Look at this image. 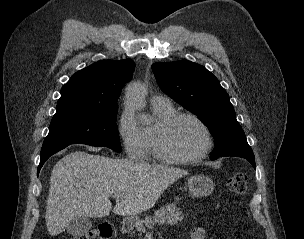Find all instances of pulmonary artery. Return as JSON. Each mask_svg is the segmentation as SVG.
<instances>
[{
  "label": "pulmonary artery",
  "instance_id": "pulmonary-artery-1",
  "mask_svg": "<svg viewBox=\"0 0 304 239\" xmlns=\"http://www.w3.org/2000/svg\"><path fill=\"white\" fill-rule=\"evenodd\" d=\"M160 101H169V99L161 95H154L151 97V102H160Z\"/></svg>",
  "mask_w": 304,
  "mask_h": 239
}]
</instances>
